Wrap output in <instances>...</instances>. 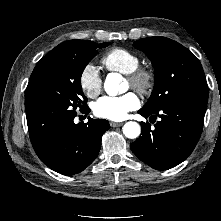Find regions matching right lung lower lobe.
I'll use <instances>...</instances> for the list:
<instances>
[{
    "label": "right lung lower lobe",
    "instance_id": "1",
    "mask_svg": "<svg viewBox=\"0 0 221 221\" xmlns=\"http://www.w3.org/2000/svg\"><path fill=\"white\" fill-rule=\"evenodd\" d=\"M25 110L32 146L52 170L73 175L83 171L97 157L101 137L109 129L103 119L88 118L74 123L76 110L55 101L25 99ZM88 114V106L81 108Z\"/></svg>",
    "mask_w": 221,
    "mask_h": 221
}]
</instances>
